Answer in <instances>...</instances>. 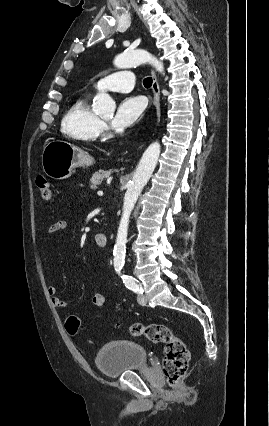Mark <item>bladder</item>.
<instances>
[{
    "mask_svg": "<svg viewBox=\"0 0 269 426\" xmlns=\"http://www.w3.org/2000/svg\"><path fill=\"white\" fill-rule=\"evenodd\" d=\"M95 363L105 376L115 378L146 366L148 356L146 350L134 341L114 340L97 352Z\"/></svg>",
    "mask_w": 269,
    "mask_h": 426,
    "instance_id": "1",
    "label": "bladder"
}]
</instances>
